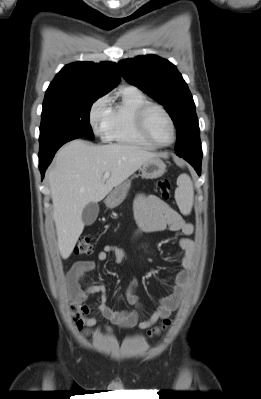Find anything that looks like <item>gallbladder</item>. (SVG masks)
I'll use <instances>...</instances> for the list:
<instances>
[{
  "label": "gallbladder",
  "mask_w": 261,
  "mask_h": 399,
  "mask_svg": "<svg viewBox=\"0 0 261 399\" xmlns=\"http://www.w3.org/2000/svg\"><path fill=\"white\" fill-rule=\"evenodd\" d=\"M99 213V205L95 202L88 203L82 211V221L86 226L92 225Z\"/></svg>",
  "instance_id": "obj_1"
}]
</instances>
